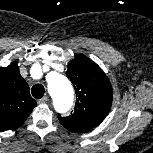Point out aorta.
I'll list each match as a JSON object with an SVG mask.
<instances>
[{"label":"aorta","instance_id":"aorta-1","mask_svg":"<svg viewBox=\"0 0 153 153\" xmlns=\"http://www.w3.org/2000/svg\"><path fill=\"white\" fill-rule=\"evenodd\" d=\"M48 89L54 100V106L59 111H67L73 103V88L69 80L58 73L48 76Z\"/></svg>","mask_w":153,"mask_h":153}]
</instances>
